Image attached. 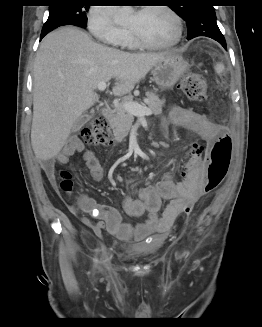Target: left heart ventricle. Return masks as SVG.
Returning <instances> with one entry per match:
<instances>
[{
  "label": "left heart ventricle",
  "instance_id": "1",
  "mask_svg": "<svg viewBox=\"0 0 262 327\" xmlns=\"http://www.w3.org/2000/svg\"><path fill=\"white\" fill-rule=\"evenodd\" d=\"M127 27L134 29L143 38L154 43L168 42L176 34L173 19L165 11L158 9H147L131 13Z\"/></svg>",
  "mask_w": 262,
  "mask_h": 327
}]
</instances>
